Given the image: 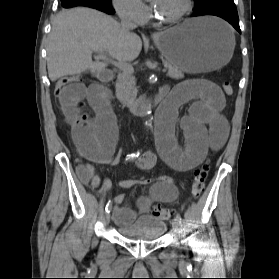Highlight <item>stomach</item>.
Listing matches in <instances>:
<instances>
[{"instance_id":"0dacf381","label":"stomach","mask_w":279,"mask_h":279,"mask_svg":"<svg viewBox=\"0 0 279 279\" xmlns=\"http://www.w3.org/2000/svg\"><path fill=\"white\" fill-rule=\"evenodd\" d=\"M155 43L166 60L187 73L223 69L235 47L234 35L229 27L211 17L191 19L162 31Z\"/></svg>"}]
</instances>
